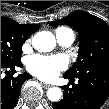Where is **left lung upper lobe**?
I'll use <instances>...</instances> for the list:
<instances>
[{"label": "left lung upper lobe", "instance_id": "obj_1", "mask_svg": "<svg viewBox=\"0 0 109 109\" xmlns=\"http://www.w3.org/2000/svg\"><path fill=\"white\" fill-rule=\"evenodd\" d=\"M67 24L75 27L80 36L76 63L65 74L75 76L94 64H109V25L102 19L84 11L50 22V25Z\"/></svg>", "mask_w": 109, "mask_h": 109}]
</instances>
